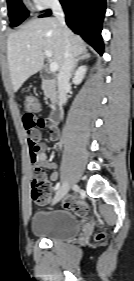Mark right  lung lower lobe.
Segmentation results:
<instances>
[{
  "mask_svg": "<svg viewBox=\"0 0 134 281\" xmlns=\"http://www.w3.org/2000/svg\"><path fill=\"white\" fill-rule=\"evenodd\" d=\"M106 0H60L66 14V23L75 33L81 35L101 55L103 41L102 22ZM50 11L40 17H47Z\"/></svg>",
  "mask_w": 134,
  "mask_h": 281,
  "instance_id": "1",
  "label": "right lung lower lobe"
}]
</instances>
